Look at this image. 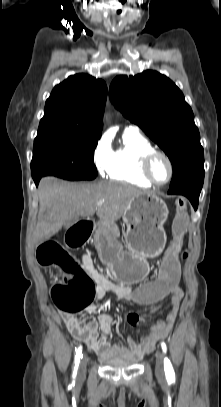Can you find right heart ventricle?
I'll return each mask as SVG.
<instances>
[{
    "instance_id": "obj_1",
    "label": "right heart ventricle",
    "mask_w": 221,
    "mask_h": 407,
    "mask_svg": "<svg viewBox=\"0 0 221 407\" xmlns=\"http://www.w3.org/2000/svg\"><path fill=\"white\" fill-rule=\"evenodd\" d=\"M152 150L151 142L138 131L125 130L121 144L113 151L109 178L138 187H151L152 184L142 174L141 162Z\"/></svg>"
}]
</instances>
